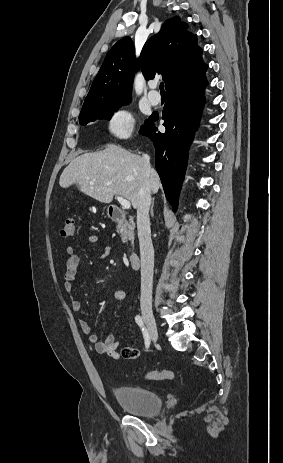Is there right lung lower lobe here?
<instances>
[{
    "label": "right lung lower lobe",
    "mask_w": 283,
    "mask_h": 463,
    "mask_svg": "<svg viewBox=\"0 0 283 463\" xmlns=\"http://www.w3.org/2000/svg\"><path fill=\"white\" fill-rule=\"evenodd\" d=\"M206 85V77L203 75L193 82L168 89L162 114L165 133L158 132L153 123L159 118L157 113H153L140 130L142 135L148 136L154 142L156 169L173 211L177 209L188 149L198 126Z\"/></svg>",
    "instance_id": "right-lung-lower-lobe-1"
}]
</instances>
